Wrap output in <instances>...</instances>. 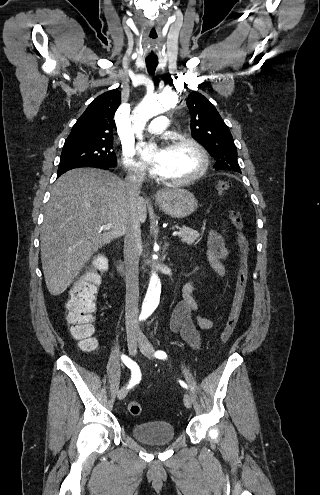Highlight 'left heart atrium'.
I'll use <instances>...</instances> for the list:
<instances>
[{"label": "left heart atrium", "instance_id": "1", "mask_svg": "<svg viewBox=\"0 0 320 495\" xmlns=\"http://www.w3.org/2000/svg\"><path fill=\"white\" fill-rule=\"evenodd\" d=\"M149 167L152 173L157 175H164L167 167V151L166 149L160 150L155 157L149 162Z\"/></svg>", "mask_w": 320, "mask_h": 495}]
</instances>
